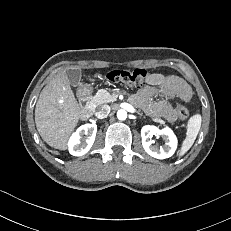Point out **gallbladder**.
<instances>
[{"instance_id": "obj_1", "label": "gallbladder", "mask_w": 231, "mask_h": 231, "mask_svg": "<svg viewBox=\"0 0 231 231\" xmlns=\"http://www.w3.org/2000/svg\"><path fill=\"white\" fill-rule=\"evenodd\" d=\"M66 76L71 85L77 86L80 83L82 73L81 70L78 68L68 69L66 71Z\"/></svg>"}]
</instances>
